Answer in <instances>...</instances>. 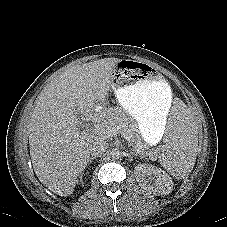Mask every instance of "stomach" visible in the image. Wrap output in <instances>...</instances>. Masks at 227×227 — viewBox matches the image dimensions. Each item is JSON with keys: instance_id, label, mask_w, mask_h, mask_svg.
<instances>
[{"instance_id": "stomach-1", "label": "stomach", "mask_w": 227, "mask_h": 227, "mask_svg": "<svg viewBox=\"0 0 227 227\" xmlns=\"http://www.w3.org/2000/svg\"><path fill=\"white\" fill-rule=\"evenodd\" d=\"M111 76L119 105L135 119L146 145L156 143L163 135L171 107L168 82L152 67L130 59L116 62Z\"/></svg>"}]
</instances>
